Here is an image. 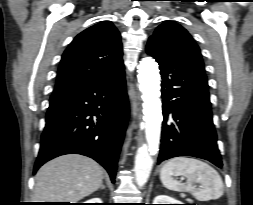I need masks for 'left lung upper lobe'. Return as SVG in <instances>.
<instances>
[{
    "label": "left lung upper lobe",
    "instance_id": "1",
    "mask_svg": "<svg viewBox=\"0 0 253 205\" xmlns=\"http://www.w3.org/2000/svg\"><path fill=\"white\" fill-rule=\"evenodd\" d=\"M149 40L156 41L160 45L194 60L204 69L199 47L190 34L179 24L172 21L162 23Z\"/></svg>",
    "mask_w": 253,
    "mask_h": 205
}]
</instances>
